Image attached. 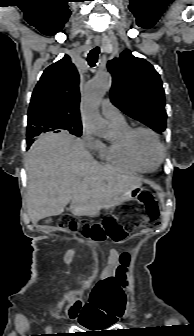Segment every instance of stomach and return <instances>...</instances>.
Here are the masks:
<instances>
[{"label":"stomach","instance_id":"0dacf381","mask_svg":"<svg viewBox=\"0 0 194 336\" xmlns=\"http://www.w3.org/2000/svg\"><path fill=\"white\" fill-rule=\"evenodd\" d=\"M140 189H141V188L139 187V188H136V189L132 190L129 194L123 196L122 199H121L120 201H122V200L134 199V198L137 196V194H138V192H139ZM120 201H119V202H120ZM97 214H98V212H97V213H94V214H90L89 216H96Z\"/></svg>","mask_w":194,"mask_h":336}]
</instances>
